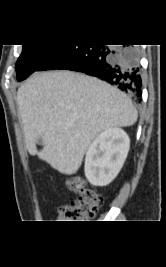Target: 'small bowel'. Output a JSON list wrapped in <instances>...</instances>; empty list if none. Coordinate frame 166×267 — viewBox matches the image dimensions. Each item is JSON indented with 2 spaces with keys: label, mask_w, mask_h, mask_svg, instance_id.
Masks as SVG:
<instances>
[{
  "label": "small bowel",
  "mask_w": 166,
  "mask_h": 267,
  "mask_svg": "<svg viewBox=\"0 0 166 267\" xmlns=\"http://www.w3.org/2000/svg\"><path fill=\"white\" fill-rule=\"evenodd\" d=\"M68 186H69V188H70L72 191H74L73 188H72V186H71V182L68 184Z\"/></svg>",
  "instance_id": "obj_1"
}]
</instances>
